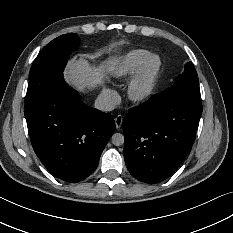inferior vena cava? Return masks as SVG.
<instances>
[{
    "mask_svg": "<svg viewBox=\"0 0 233 233\" xmlns=\"http://www.w3.org/2000/svg\"><path fill=\"white\" fill-rule=\"evenodd\" d=\"M94 107L100 111H112L115 108V104L107 97L98 96L95 100Z\"/></svg>",
    "mask_w": 233,
    "mask_h": 233,
    "instance_id": "602c4592",
    "label": "inferior vena cava"
}]
</instances>
